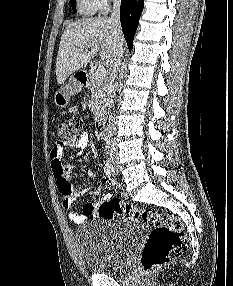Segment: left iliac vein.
<instances>
[{
	"instance_id": "left-iliac-vein-1",
	"label": "left iliac vein",
	"mask_w": 233,
	"mask_h": 286,
	"mask_svg": "<svg viewBox=\"0 0 233 286\" xmlns=\"http://www.w3.org/2000/svg\"><path fill=\"white\" fill-rule=\"evenodd\" d=\"M115 174H118V167H115V169H113Z\"/></svg>"
}]
</instances>
